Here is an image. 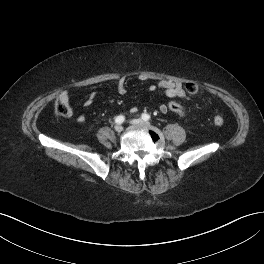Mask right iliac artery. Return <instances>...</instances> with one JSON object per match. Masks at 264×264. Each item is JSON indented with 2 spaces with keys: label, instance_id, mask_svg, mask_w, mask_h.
<instances>
[{
  "label": "right iliac artery",
  "instance_id": "1",
  "mask_svg": "<svg viewBox=\"0 0 264 264\" xmlns=\"http://www.w3.org/2000/svg\"><path fill=\"white\" fill-rule=\"evenodd\" d=\"M124 120H125L124 116L119 115V116L116 117V119H115V123H117V124H121V123L124 122Z\"/></svg>",
  "mask_w": 264,
  "mask_h": 264
}]
</instances>
